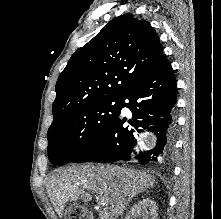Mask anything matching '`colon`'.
Returning a JSON list of instances; mask_svg holds the SVG:
<instances>
[{"instance_id": "obj_1", "label": "colon", "mask_w": 221, "mask_h": 219, "mask_svg": "<svg viewBox=\"0 0 221 219\" xmlns=\"http://www.w3.org/2000/svg\"><path fill=\"white\" fill-rule=\"evenodd\" d=\"M66 219H93V216L84 208L71 206L66 210Z\"/></svg>"}]
</instances>
